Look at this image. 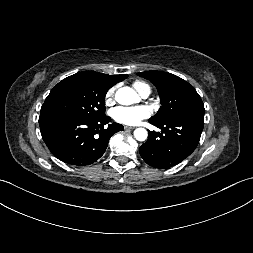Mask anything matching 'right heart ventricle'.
Returning a JSON list of instances; mask_svg holds the SVG:
<instances>
[{"mask_svg":"<svg viewBox=\"0 0 253 253\" xmlns=\"http://www.w3.org/2000/svg\"><path fill=\"white\" fill-rule=\"evenodd\" d=\"M133 87L137 90V92L141 95L143 92H150L151 89H150V86L146 83V82H143V81H135L133 83Z\"/></svg>","mask_w":253,"mask_h":253,"instance_id":"e07e8e85","label":"right heart ventricle"}]
</instances>
